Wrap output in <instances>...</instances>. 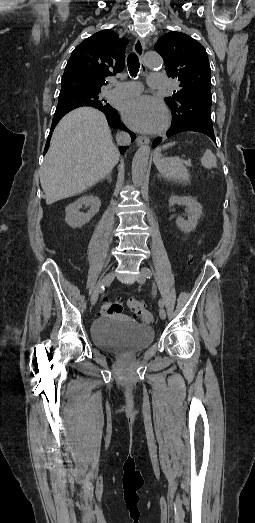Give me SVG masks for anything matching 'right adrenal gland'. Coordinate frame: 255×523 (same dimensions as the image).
Instances as JSON below:
<instances>
[{
	"instance_id": "2a0ac1e0",
	"label": "right adrenal gland",
	"mask_w": 255,
	"mask_h": 523,
	"mask_svg": "<svg viewBox=\"0 0 255 523\" xmlns=\"http://www.w3.org/2000/svg\"><path fill=\"white\" fill-rule=\"evenodd\" d=\"M104 178H107V180H109V182H112V180H111V174H107V176H104Z\"/></svg>"
}]
</instances>
